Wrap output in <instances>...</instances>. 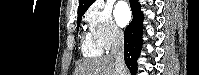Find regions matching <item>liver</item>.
<instances>
[{"instance_id":"1","label":"liver","mask_w":199,"mask_h":75,"mask_svg":"<svg viewBox=\"0 0 199 75\" xmlns=\"http://www.w3.org/2000/svg\"><path fill=\"white\" fill-rule=\"evenodd\" d=\"M74 75H116L115 60L111 55L85 60L78 66Z\"/></svg>"}]
</instances>
